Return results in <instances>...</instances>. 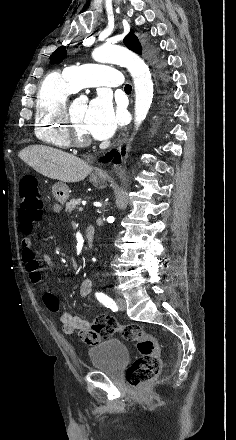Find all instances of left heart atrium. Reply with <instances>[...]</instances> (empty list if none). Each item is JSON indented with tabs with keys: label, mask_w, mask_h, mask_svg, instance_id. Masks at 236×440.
Returning a JSON list of instances; mask_svg holds the SVG:
<instances>
[{
	"label": "left heart atrium",
	"mask_w": 236,
	"mask_h": 440,
	"mask_svg": "<svg viewBox=\"0 0 236 440\" xmlns=\"http://www.w3.org/2000/svg\"><path fill=\"white\" fill-rule=\"evenodd\" d=\"M85 125L90 136L104 140L117 129L118 118L114 106L107 95L101 94L87 106Z\"/></svg>",
	"instance_id": "obj_1"
}]
</instances>
